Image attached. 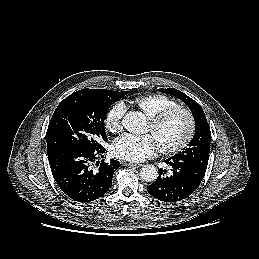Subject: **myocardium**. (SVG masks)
Returning a JSON list of instances; mask_svg holds the SVG:
<instances>
[{
    "instance_id": "myocardium-1",
    "label": "myocardium",
    "mask_w": 259,
    "mask_h": 259,
    "mask_svg": "<svg viewBox=\"0 0 259 259\" xmlns=\"http://www.w3.org/2000/svg\"><path fill=\"white\" fill-rule=\"evenodd\" d=\"M181 114L187 120V132L185 136L175 145L170 147H162L158 146V150L160 153L164 155H174L182 150H184L189 143L192 141L195 131H196V121L195 118L190 110L187 108L176 106L169 109H166L152 118L149 119V126L151 131L157 130L162 124H164L168 119L173 117L174 115Z\"/></svg>"
}]
</instances>
